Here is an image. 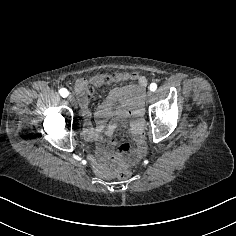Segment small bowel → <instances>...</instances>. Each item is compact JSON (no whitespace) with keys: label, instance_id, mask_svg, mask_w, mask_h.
I'll return each instance as SVG.
<instances>
[{"label":"small bowel","instance_id":"obj_1","mask_svg":"<svg viewBox=\"0 0 236 236\" xmlns=\"http://www.w3.org/2000/svg\"><path fill=\"white\" fill-rule=\"evenodd\" d=\"M113 80H130L135 84L115 88L109 93L94 114L96 129L92 128V110L84 91L89 84H101L103 78L79 79L76 82L84 119V136L88 142L96 143L95 156H90L89 160L94 171L101 177H110L115 170L137 163L146 153L142 116L146 79L136 72H123L116 73ZM108 120L110 122L106 126ZM120 126L131 132L136 143L133 151H130L128 144L116 147L112 136Z\"/></svg>","mask_w":236,"mask_h":236}]
</instances>
